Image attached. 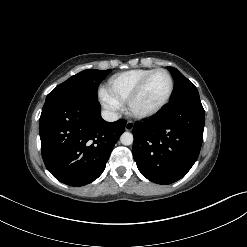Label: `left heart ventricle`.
<instances>
[{
	"label": "left heart ventricle",
	"mask_w": 247,
	"mask_h": 247,
	"mask_svg": "<svg viewBox=\"0 0 247 247\" xmlns=\"http://www.w3.org/2000/svg\"><path fill=\"white\" fill-rule=\"evenodd\" d=\"M169 79L164 73L154 74L146 84L143 93L135 103L138 111H146L162 102L169 90Z\"/></svg>",
	"instance_id": "1"
}]
</instances>
